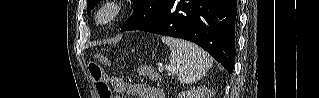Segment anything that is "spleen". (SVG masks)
<instances>
[{"instance_id": "1", "label": "spleen", "mask_w": 319, "mask_h": 98, "mask_svg": "<svg viewBox=\"0 0 319 98\" xmlns=\"http://www.w3.org/2000/svg\"><path fill=\"white\" fill-rule=\"evenodd\" d=\"M162 42L170 48L171 69L178 74L184 84L201 79L212 65L210 55L199 46L171 37H162Z\"/></svg>"}]
</instances>
